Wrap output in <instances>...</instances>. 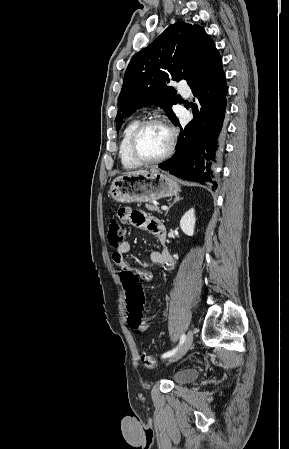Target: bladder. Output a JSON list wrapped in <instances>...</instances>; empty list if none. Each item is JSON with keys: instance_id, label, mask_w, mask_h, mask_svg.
Instances as JSON below:
<instances>
[{"instance_id": "bladder-1", "label": "bladder", "mask_w": 289, "mask_h": 449, "mask_svg": "<svg viewBox=\"0 0 289 449\" xmlns=\"http://www.w3.org/2000/svg\"><path fill=\"white\" fill-rule=\"evenodd\" d=\"M199 371L196 369H182L175 373L174 381L178 384H183L196 379Z\"/></svg>"}]
</instances>
